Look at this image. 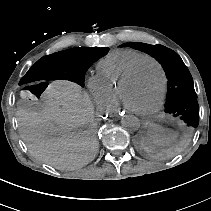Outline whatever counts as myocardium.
<instances>
[{
    "instance_id": "obj_1",
    "label": "myocardium",
    "mask_w": 211,
    "mask_h": 211,
    "mask_svg": "<svg viewBox=\"0 0 211 211\" xmlns=\"http://www.w3.org/2000/svg\"><path fill=\"white\" fill-rule=\"evenodd\" d=\"M145 62H153L159 68V71L161 74V92H160V97H159V100L157 101V103L150 109L142 111V110L132 109L126 104L125 92H126V89H127V86L129 84L130 80L132 79V77L136 74L138 69ZM166 82H167V76H166L165 69H164L163 65L161 64V62L152 56H146L138 64H136L131 70H129L122 78V80L118 86V92H117L118 100L124 106V108L127 111H129L130 113L138 115V116H142V117H149V116L155 114L163 104L164 97H165Z\"/></svg>"
}]
</instances>
